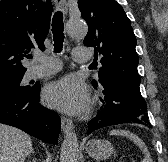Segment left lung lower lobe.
I'll return each mask as SVG.
<instances>
[{
    "instance_id": "1",
    "label": "left lung lower lobe",
    "mask_w": 168,
    "mask_h": 162,
    "mask_svg": "<svg viewBox=\"0 0 168 162\" xmlns=\"http://www.w3.org/2000/svg\"><path fill=\"white\" fill-rule=\"evenodd\" d=\"M104 97L103 106L96 117L88 122L87 132L122 123H139L152 127L147 114V105L141 96L139 85L122 80H108L98 88Z\"/></svg>"
}]
</instances>
